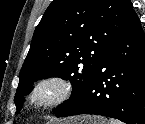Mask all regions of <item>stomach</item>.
<instances>
[{
  "mask_svg": "<svg viewBox=\"0 0 145 124\" xmlns=\"http://www.w3.org/2000/svg\"><path fill=\"white\" fill-rule=\"evenodd\" d=\"M56 124H106L105 120L100 117L81 116L60 120Z\"/></svg>",
  "mask_w": 145,
  "mask_h": 124,
  "instance_id": "0dacf381",
  "label": "stomach"
}]
</instances>
